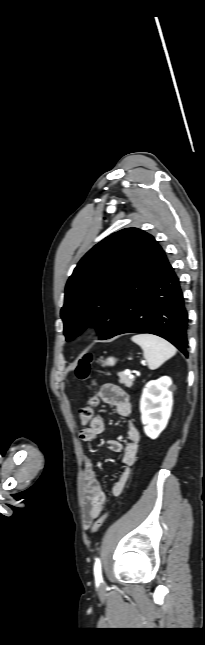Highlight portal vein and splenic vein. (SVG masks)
Here are the masks:
<instances>
[{
	"label": "portal vein and splenic vein",
	"mask_w": 205,
	"mask_h": 645,
	"mask_svg": "<svg viewBox=\"0 0 205 645\" xmlns=\"http://www.w3.org/2000/svg\"><path fill=\"white\" fill-rule=\"evenodd\" d=\"M125 374L130 375L131 374L130 370H125Z\"/></svg>",
	"instance_id": "portal-vein-and-splenic-vein-1"
}]
</instances>
